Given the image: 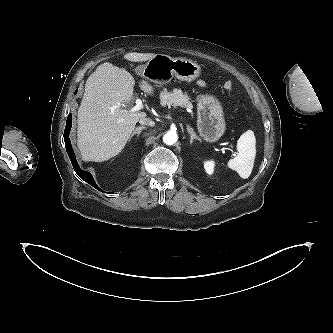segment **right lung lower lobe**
I'll return each mask as SVG.
<instances>
[{"label":"right lung lower lobe","instance_id":"right-lung-lower-lobe-1","mask_svg":"<svg viewBox=\"0 0 333 333\" xmlns=\"http://www.w3.org/2000/svg\"><path fill=\"white\" fill-rule=\"evenodd\" d=\"M71 126H72V116L71 115H68V118H67V122H66V127H65V131H64V141H65V147H66V150H67V153H68V156L71 160V163L73 165V168L75 170V172L84 180L86 181L87 183H89L90 185H92L93 187H95L96 189L102 191L96 184H95V181L91 175V173L89 172H86L84 170H82L78 163H77V160H76V157H75V154H74V151L72 149V145H71V142H70V139H69V132H70V129H71Z\"/></svg>","mask_w":333,"mask_h":333}]
</instances>
